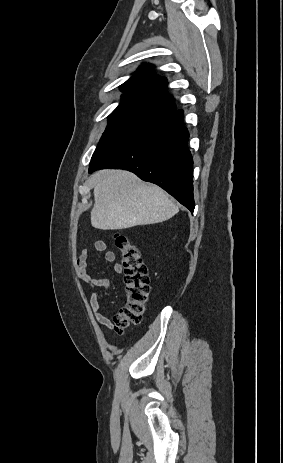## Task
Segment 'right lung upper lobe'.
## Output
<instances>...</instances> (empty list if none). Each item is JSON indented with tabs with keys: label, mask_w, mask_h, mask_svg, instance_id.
I'll use <instances>...</instances> for the list:
<instances>
[{
	"label": "right lung upper lobe",
	"mask_w": 283,
	"mask_h": 463,
	"mask_svg": "<svg viewBox=\"0 0 283 463\" xmlns=\"http://www.w3.org/2000/svg\"><path fill=\"white\" fill-rule=\"evenodd\" d=\"M153 66L143 64L121 89L123 98L158 110L162 115L176 109L173 98L166 93L167 81L152 73Z\"/></svg>",
	"instance_id": "1"
}]
</instances>
